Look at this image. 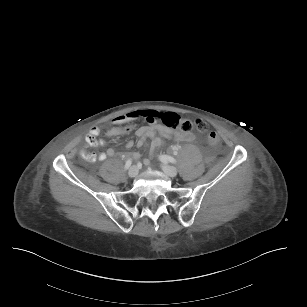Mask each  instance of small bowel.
<instances>
[{
  "instance_id": "obj_1",
  "label": "small bowel",
  "mask_w": 307,
  "mask_h": 307,
  "mask_svg": "<svg viewBox=\"0 0 307 307\" xmlns=\"http://www.w3.org/2000/svg\"><path fill=\"white\" fill-rule=\"evenodd\" d=\"M157 113L154 110H134L126 114L116 117L113 120V124L117 128L113 129L110 134H121L124 130L121 129V126L126 124H131L134 121L143 119L148 124L139 128L136 131V135L139 138L136 145L138 147L147 146V142L150 141L151 144V156L163 145L164 139H174L182 142H191L195 139L193 133L179 134L177 132L171 131L165 128L162 125L156 123ZM132 128V125H129L126 130ZM100 133V128L98 126L92 127L85 137V142L87 146H103L105 144L104 140L98 139ZM134 146L132 140L127 141L125 147L127 150L131 149ZM81 156L87 161L94 162L96 160H105L108 157H112L116 154L115 150L110 148L106 152H102L98 155L94 153H89L85 149H82L80 152ZM140 157L138 153L133 154V158L137 160ZM148 159L145 160V164H149Z\"/></svg>"
}]
</instances>
